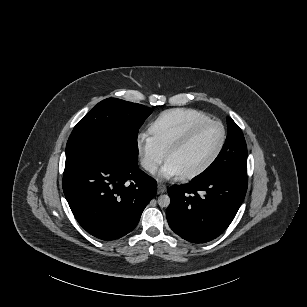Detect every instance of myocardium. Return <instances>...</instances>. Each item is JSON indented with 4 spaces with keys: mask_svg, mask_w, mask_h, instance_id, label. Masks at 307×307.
<instances>
[{
    "mask_svg": "<svg viewBox=\"0 0 307 307\" xmlns=\"http://www.w3.org/2000/svg\"><path fill=\"white\" fill-rule=\"evenodd\" d=\"M213 124H220L223 127V130H224V136H223V139H222V142H221L219 148L213 154V156L205 164H203L201 167H199L198 169H196L194 171H191L189 173L181 175L182 179L187 180V179H192V178H195L197 176H200V175L204 174L205 172H207L217 162V160L222 155V153H223V151H224V149L227 145V142H228V128H227L226 124L224 122L220 121V120L207 121L204 124H202V125L196 127L195 129H193L183 139L174 143L166 151L165 159H166L167 162H169V159L173 154H175L176 152H178V151L184 149L185 147H187L191 142H193L196 139V137L203 130H205L207 127H209Z\"/></svg>",
    "mask_w": 307,
    "mask_h": 307,
    "instance_id": "f54148a6",
    "label": "myocardium"
}]
</instances>
